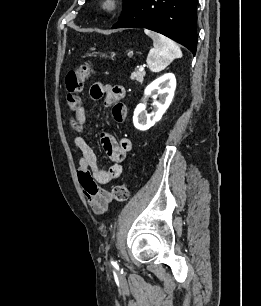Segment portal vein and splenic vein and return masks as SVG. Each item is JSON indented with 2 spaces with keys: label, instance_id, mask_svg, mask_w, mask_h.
<instances>
[{
  "label": "portal vein and splenic vein",
  "instance_id": "18ae733b",
  "mask_svg": "<svg viewBox=\"0 0 261 306\" xmlns=\"http://www.w3.org/2000/svg\"><path fill=\"white\" fill-rule=\"evenodd\" d=\"M139 71H140V72L144 71V67L141 66V67L139 68Z\"/></svg>",
  "mask_w": 261,
  "mask_h": 306
}]
</instances>
